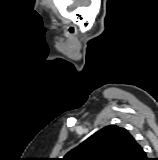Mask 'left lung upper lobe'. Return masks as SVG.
Listing matches in <instances>:
<instances>
[{
	"instance_id": "obj_1",
	"label": "left lung upper lobe",
	"mask_w": 158,
	"mask_h": 160,
	"mask_svg": "<svg viewBox=\"0 0 158 160\" xmlns=\"http://www.w3.org/2000/svg\"><path fill=\"white\" fill-rule=\"evenodd\" d=\"M135 144L126 129L110 125L69 151L62 160H128Z\"/></svg>"
}]
</instances>
